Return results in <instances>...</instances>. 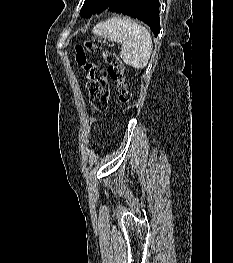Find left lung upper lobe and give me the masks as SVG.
<instances>
[{
    "instance_id": "obj_1",
    "label": "left lung upper lobe",
    "mask_w": 233,
    "mask_h": 263,
    "mask_svg": "<svg viewBox=\"0 0 233 263\" xmlns=\"http://www.w3.org/2000/svg\"><path fill=\"white\" fill-rule=\"evenodd\" d=\"M115 0H85L80 15L89 18L96 13L106 10Z\"/></svg>"
}]
</instances>
